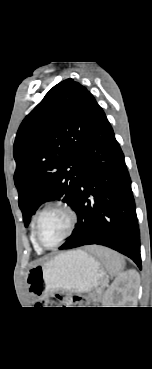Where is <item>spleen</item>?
Returning a JSON list of instances; mask_svg holds the SVG:
<instances>
[{"mask_svg": "<svg viewBox=\"0 0 152 369\" xmlns=\"http://www.w3.org/2000/svg\"><path fill=\"white\" fill-rule=\"evenodd\" d=\"M99 255L104 258L106 267L111 274L114 276L121 275L125 266L123 256L109 249H101Z\"/></svg>", "mask_w": 152, "mask_h": 369, "instance_id": "obj_1", "label": "spleen"}]
</instances>
